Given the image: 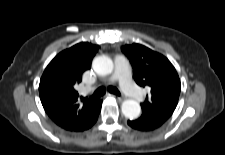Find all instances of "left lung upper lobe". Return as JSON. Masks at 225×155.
I'll list each match as a JSON object with an SVG mask.
<instances>
[{"instance_id": "left-lung-upper-lobe-1", "label": "left lung upper lobe", "mask_w": 225, "mask_h": 155, "mask_svg": "<svg viewBox=\"0 0 225 155\" xmlns=\"http://www.w3.org/2000/svg\"><path fill=\"white\" fill-rule=\"evenodd\" d=\"M122 51L130 60L136 83L141 87L151 88V95L141 103L140 119H169L177 106L181 91L174 66L163 55L140 44L125 45Z\"/></svg>"}]
</instances>
